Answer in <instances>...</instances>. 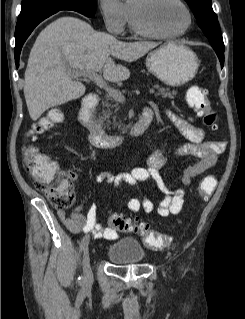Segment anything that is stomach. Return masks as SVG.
Returning a JSON list of instances; mask_svg holds the SVG:
<instances>
[{"mask_svg": "<svg viewBox=\"0 0 245 319\" xmlns=\"http://www.w3.org/2000/svg\"><path fill=\"white\" fill-rule=\"evenodd\" d=\"M146 67L164 83L179 86L196 75L199 63L197 55L189 47L170 42L148 54Z\"/></svg>", "mask_w": 245, "mask_h": 319, "instance_id": "obj_1", "label": "stomach"}]
</instances>
